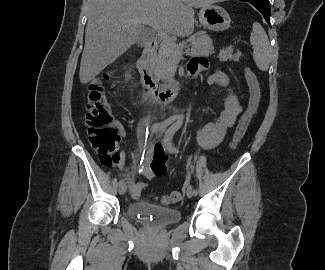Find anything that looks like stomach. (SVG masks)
<instances>
[{
	"label": "stomach",
	"mask_w": 325,
	"mask_h": 270,
	"mask_svg": "<svg viewBox=\"0 0 325 270\" xmlns=\"http://www.w3.org/2000/svg\"><path fill=\"white\" fill-rule=\"evenodd\" d=\"M200 23L207 29L223 31L229 28L231 19L225 9L217 5L202 6L198 14Z\"/></svg>",
	"instance_id": "obj_1"
}]
</instances>
